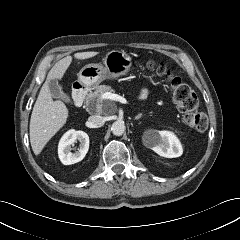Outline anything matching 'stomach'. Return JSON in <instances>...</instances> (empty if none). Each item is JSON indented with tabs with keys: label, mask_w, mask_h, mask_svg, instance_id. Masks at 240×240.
<instances>
[{
	"label": "stomach",
	"mask_w": 240,
	"mask_h": 240,
	"mask_svg": "<svg viewBox=\"0 0 240 240\" xmlns=\"http://www.w3.org/2000/svg\"><path fill=\"white\" fill-rule=\"evenodd\" d=\"M103 64L85 65L78 74V82L88 90L94 89L105 79L127 74L132 58L125 51L112 50L104 56Z\"/></svg>",
	"instance_id": "0dacf381"
}]
</instances>
